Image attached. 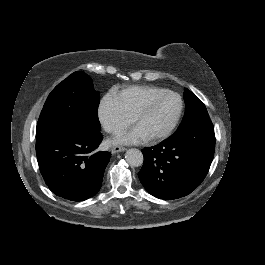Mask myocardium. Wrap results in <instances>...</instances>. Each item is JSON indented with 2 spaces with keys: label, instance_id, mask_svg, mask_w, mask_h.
<instances>
[{
  "label": "myocardium",
  "instance_id": "myocardium-1",
  "mask_svg": "<svg viewBox=\"0 0 265 265\" xmlns=\"http://www.w3.org/2000/svg\"><path fill=\"white\" fill-rule=\"evenodd\" d=\"M162 93H167V94H171L173 96H176L179 99L180 106H179V109H178V112H177L175 118L172 121H170L168 124H166L164 127H162L157 133L147 137L150 141H155V140L161 139V138L165 137L166 135H168L171 132V130L179 122V120L183 114V110H184V100H183V97L179 93H177L173 90H170V89H158V90L154 91L151 95H149L146 98V100L141 104L139 109L135 112V114H134V123L135 124L137 123V119L139 118V116L142 115L148 109V107L153 102V100L156 98V96H158L159 94H162Z\"/></svg>",
  "mask_w": 265,
  "mask_h": 265
}]
</instances>
